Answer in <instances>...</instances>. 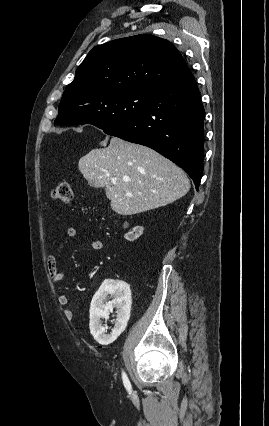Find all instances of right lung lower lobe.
Here are the masks:
<instances>
[{"label":"right lung lower lobe","mask_w":269,"mask_h":426,"mask_svg":"<svg viewBox=\"0 0 269 426\" xmlns=\"http://www.w3.org/2000/svg\"><path fill=\"white\" fill-rule=\"evenodd\" d=\"M204 118L200 94L190 73L154 90L141 114L104 132L159 152L180 166L198 190L203 174Z\"/></svg>","instance_id":"right-lung-lower-lobe-1"}]
</instances>
